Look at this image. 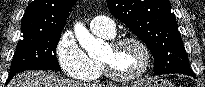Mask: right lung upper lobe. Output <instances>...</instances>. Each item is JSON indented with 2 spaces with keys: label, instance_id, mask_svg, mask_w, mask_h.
I'll use <instances>...</instances> for the list:
<instances>
[{
  "label": "right lung upper lobe",
  "instance_id": "obj_1",
  "mask_svg": "<svg viewBox=\"0 0 205 87\" xmlns=\"http://www.w3.org/2000/svg\"><path fill=\"white\" fill-rule=\"evenodd\" d=\"M76 2L77 0H34L23 15L22 33L62 31L69 11Z\"/></svg>",
  "mask_w": 205,
  "mask_h": 87
}]
</instances>
